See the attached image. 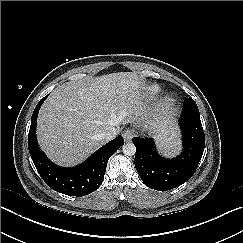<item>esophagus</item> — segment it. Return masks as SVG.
<instances>
[{"label":"esophagus","mask_w":243,"mask_h":243,"mask_svg":"<svg viewBox=\"0 0 243 243\" xmlns=\"http://www.w3.org/2000/svg\"><path fill=\"white\" fill-rule=\"evenodd\" d=\"M134 136H135V132L132 129H126L123 132V138L126 142H130Z\"/></svg>","instance_id":"34e87169"}]
</instances>
